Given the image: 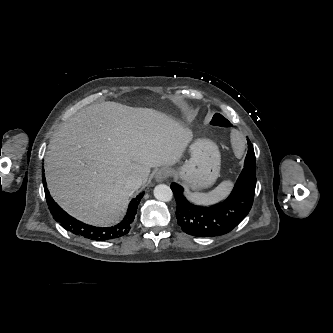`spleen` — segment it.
Returning <instances> with one entry per match:
<instances>
[{"instance_id": "1", "label": "spleen", "mask_w": 333, "mask_h": 333, "mask_svg": "<svg viewBox=\"0 0 333 333\" xmlns=\"http://www.w3.org/2000/svg\"><path fill=\"white\" fill-rule=\"evenodd\" d=\"M232 185V182L229 180L223 181L215 189L208 193H191L190 191L186 190V196L190 201L196 204L210 205L224 199L230 193Z\"/></svg>"}]
</instances>
